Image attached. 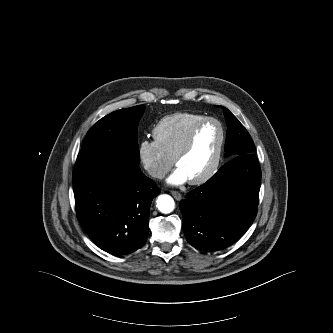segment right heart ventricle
<instances>
[{"label":"right heart ventricle","instance_id":"1","mask_svg":"<svg viewBox=\"0 0 333 333\" xmlns=\"http://www.w3.org/2000/svg\"><path fill=\"white\" fill-rule=\"evenodd\" d=\"M205 118L202 114L188 112L165 116L152 130L154 141L168 158L173 159L191 129Z\"/></svg>","mask_w":333,"mask_h":333}]
</instances>
